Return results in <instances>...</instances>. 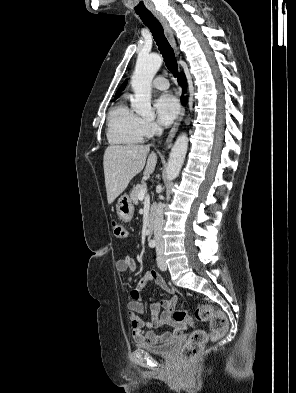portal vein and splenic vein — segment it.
Listing matches in <instances>:
<instances>
[{
    "label": "portal vein and splenic vein",
    "mask_w": 296,
    "mask_h": 393,
    "mask_svg": "<svg viewBox=\"0 0 296 393\" xmlns=\"http://www.w3.org/2000/svg\"><path fill=\"white\" fill-rule=\"evenodd\" d=\"M146 193H147V187L145 186V187L140 191V193L138 194V199H139V200H143L144 197H145V195H146Z\"/></svg>",
    "instance_id": "portal-vein-and-splenic-vein-1"
}]
</instances>
